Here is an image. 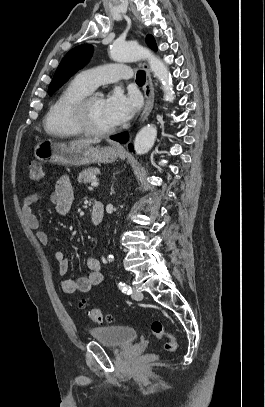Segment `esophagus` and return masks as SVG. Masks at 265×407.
Returning <instances> with one entry per match:
<instances>
[{"instance_id":"obj_1","label":"esophagus","mask_w":265,"mask_h":407,"mask_svg":"<svg viewBox=\"0 0 265 407\" xmlns=\"http://www.w3.org/2000/svg\"><path fill=\"white\" fill-rule=\"evenodd\" d=\"M143 69L146 75V82L143 88L144 96H145V107L139 117L138 122L142 124L148 117L151 112L153 101H154V86L151 78V73L149 70V66L147 62H143ZM113 149L118 150L120 149L119 145L113 146Z\"/></svg>"}]
</instances>
